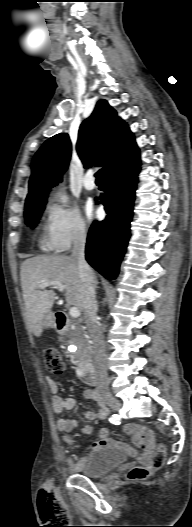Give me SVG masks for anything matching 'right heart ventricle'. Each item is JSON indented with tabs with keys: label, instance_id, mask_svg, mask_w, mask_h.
Returning a JSON list of instances; mask_svg holds the SVG:
<instances>
[{
	"label": "right heart ventricle",
	"instance_id": "right-heart-ventricle-1",
	"mask_svg": "<svg viewBox=\"0 0 192 527\" xmlns=\"http://www.w3.org/2000/svg\"><path fill=\"white\" fill-rule=\"evenodd\" d=\"M40 244H41L42 249H44V250H50L51 249L47 238H42L41 241H40Z\"/></svg>",
	"mask_w": 192,
	"mask_h": 527
}]
</instances>
